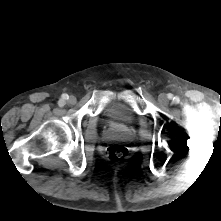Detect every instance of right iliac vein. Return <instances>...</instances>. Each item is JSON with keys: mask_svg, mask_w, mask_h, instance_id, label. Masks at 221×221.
Segmentation results:
<instances>
[{"mask_svg": "<svg viewBox=\"0 0 221 221\" xmlns=\"http://www.w3.org/2000/svg\"><path fill=\"white\" fill-rule=\"evenodd\" d=\"M68 104H75L76 103V98L74 96H70L67 100Z\"/></svg>", "mask_w": 221, "mask_h": 221, "instance_id": "right-iliac-vein-1", "label": "right iliac vein"}]
</instances>
